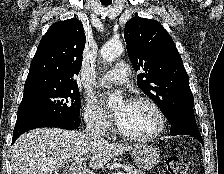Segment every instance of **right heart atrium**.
Segmentation results:
<instances>
[{"label":"right heart atrium","mask_w":224,"mask_h":174,"mask_svg":"<svg viewBox=\"0 0 224 174\" xmlns=\"http://www.w3.org/2000/svg\"><path fill=\"white\" fill-rule=\"evenodd\" d=\"M84 119L88 127L98 133L106 134L111 129V124L94 99H88L85 110Z\"/></svg>","instance_id":"1"}]
</instances>
